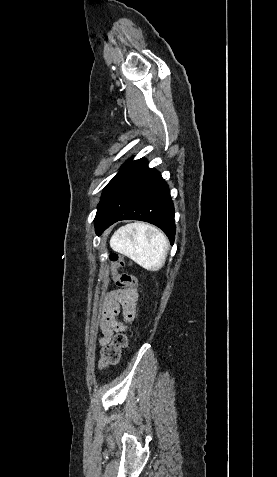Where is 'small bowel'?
Listing matches in <instances>:
<instances>
[{
  "label": "small bowel",
  "instance_id": "small-bowel-1",
  "mask_svg": "<svg viewBox=\"0 0 277 477\" xmlns=\"http://www.w3.org/2000/svg\"><path fill=\"white\" fill-rule=\"evenodd\" d=\"M131 286L111 289L103 299L100 316V328L103 336L98 339L100 346L107 345L116 332L126 331L127 324L135 316L138 291H131ZM123 306L121 310L119 307ZM122 311L124 322L116 320L115 316Z\"/></svg>",
  "mask_w": 277,
  "mask_h": 477
}]
</instances>
